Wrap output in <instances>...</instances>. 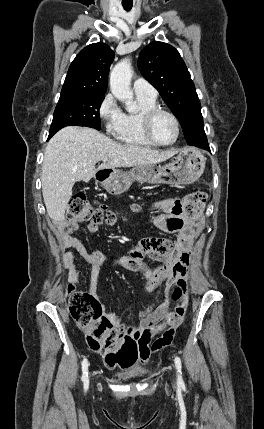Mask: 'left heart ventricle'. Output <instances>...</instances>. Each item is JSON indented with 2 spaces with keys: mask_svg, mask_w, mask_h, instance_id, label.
Masks as SVG:
<instances>
[{
  "mask_svg": "<svg viewBox=\"0 0 264 429\" xmlns=\"http://www.w3.org/2000/svg\"><path fill=\"white\" fill-rule=\"evenodd\" d=\"M152 129L155 138L162 143L171 142L176 135L173 120L164 114H160L155 118Z\"/></svg>",
  "mask_w": 264,
  "mask_h": 429,
  "instance_id": "left-heart-ventricle-1",
  "label": "left heart ventricle"
}]
</instances>
